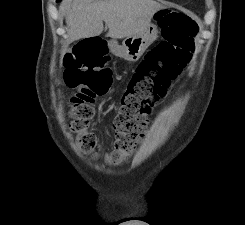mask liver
Wrapping results in <instances>:
<instances>
[{"instance_id": "obj_1", "label": "liver", "mask_w": 245, "mask_h": 225, "mask_svg": "<svg viewBox=\"0 0 245 225\" xmlns=\"http://www.w3.org/2000/svg\"><path fill=\"white\" fill-rule=\"evenodd\" d=\"M162 9L154 0H63L60 11L66 15L68 44L100 35L126 38L142 32L153 15Z\"/></svg>"}]
</instances>
